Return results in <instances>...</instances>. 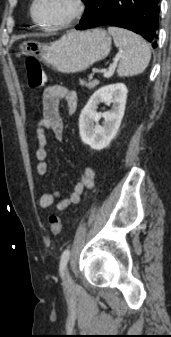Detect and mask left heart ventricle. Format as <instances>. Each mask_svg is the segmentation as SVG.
<instances>
[{"mask_svg":"<svg viewBox=\"0 0 171 337\" xmlns=\"http://www.w3.org/2000/svg\"><path fill=\"white\" fill-rule=\"evenodd\" d=\"M73 8V0H39L36 16L42 23L58 24L69 17Z\"/></svg>","mask_w":171,"mask_h":337,"instance_id":"left-heart-ventricle-1","label":"left heart ventricle"}]
</instances>
